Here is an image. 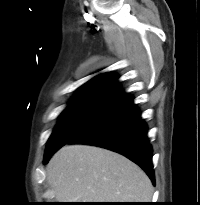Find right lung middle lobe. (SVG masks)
I'll use <instances>...</instances> for the list:
<instances>
[{"mask_svg": "<svg viewBox=\"0 0 200 205\" xmlns=\"http://www.w3.org/2000/svg\"><path fill=\"white\" fill-rule=\"evenodd\" d=\"M114 103L99 100H74L62 112L60 121L48 140L45 157L103 115Z\"/></svg>", "mask_w": 200, "mask_h": 205, "instance_id": "1", "label": "right lung middle lobe"}]
</instances>
